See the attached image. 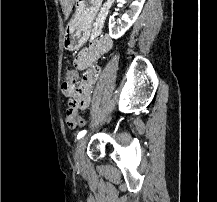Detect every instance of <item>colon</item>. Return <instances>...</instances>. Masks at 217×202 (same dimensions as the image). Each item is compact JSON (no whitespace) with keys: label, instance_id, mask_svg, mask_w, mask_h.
I'll return each mask as SVG.
<instances>
[{"label":"colon","instance_id":"5ec220e1","mask_svg":"<svg viewBox=\"0 0 217 202\" xmlns=\"http://www.w3.org/2000/svg\"><path fill=\"white\" fill-rule=\"evenodd\" d=\"M79 74L74 71H69L66 75L63 86H62V92L64 96L67 99L68 107H69V114L66 117V122L69 125L70 128H73L70 122L71 114L73 109L81 108L80 102H88L89 96H82L84 95V90H76L77 88L82 87H76V82H78ZM77 127H83L85 125V119L84 118H77ZM74 129V128H73Z\"/></svg>","mask_w":217,"mask_h":202}]
</instances>
